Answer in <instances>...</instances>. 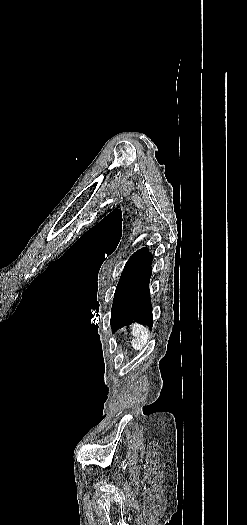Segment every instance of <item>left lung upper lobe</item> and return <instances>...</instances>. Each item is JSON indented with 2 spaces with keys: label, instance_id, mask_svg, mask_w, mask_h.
Wrapping results in <instances>:
<instances>
[{
  "label": "left lung upper lobe",
  "instance_id": "obj_1",
  "mask_svg": "<svg viewBox=\"0 0 247 525\" xmlns=\"http://www.w3.org/2000/svg\"><path fill=\"white\" fill-rule=\"evenodd\" d=\"M152 259L148 248H142L130 257L116 287L113 304L150 268Z\"/></svg>",
  "mask_w": 247,
  "mask_h": 525
}]
</instances>
